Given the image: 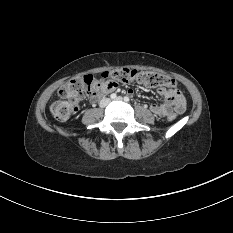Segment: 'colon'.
<instances>
[{"label": "colon", "instance_id": "5ec220e1", "mask_svg": "<svg viewBox=\"0 0 233 233\" xmlns=\"http://www.w3.org/2000/svg\"><path fill=\"white\" fill-rule=\"evenodd\" d=\"M130 82L152 87L160 86L170 89L175 87L172 78L154 71L117 68L102 73L101 79H97L92 75H85L68 81L59 89V99L51 104L50 111L57 120H68L78 111L80 101L86 97L95 96L104 84ZM174 118L175 116H171L168 119L173 120Z\"/></svg>", "mask_w": 233, "mask_h": 233}]
</instances>
